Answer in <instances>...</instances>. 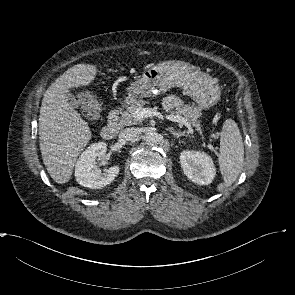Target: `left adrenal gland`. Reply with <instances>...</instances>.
<instances>
[{"mask_svg": "<svg viewBox=\"0 0 295 295\" xmlns=\"http://www.w3.org/2000/svg\"><path fill=\"white\" fill-rule=\"evenodd\" d=\"M170 133L176 138H179L181 136L191 137L189 134H186L185 132L176 131L172 128L170 129Z\"/></svg>", "mask_w": 295, "mask_h": 295, "instance_id": "1", "label": "left adrenal gland"}]
</instances>
